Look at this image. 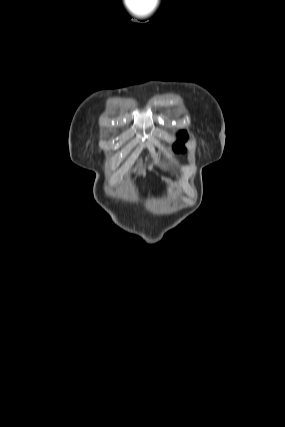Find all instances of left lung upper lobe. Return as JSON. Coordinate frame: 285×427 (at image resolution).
<instances>
[{
  "label": "left lung upper lobe",
  "mask_w": 285,
  "mask_h": 427,
  "mask_svg": "<svg viewBox=\"0 0 285 427\" xmlns=\"http://www.w3.org/2000/svg\"><path fill=\"white\" fill-rule=\"evenodd\" d=\"M179 137H180V141L179 142H177L173 147H174V150L175 151H177V152H185L186 151V149H185V147H184V145H183V142H185L186 140H187V138H188V136H187V134H186V132L185 131H182V132H179Z\"/></svg>",
  "instance_id": "obj_1"
}]
</instances>
